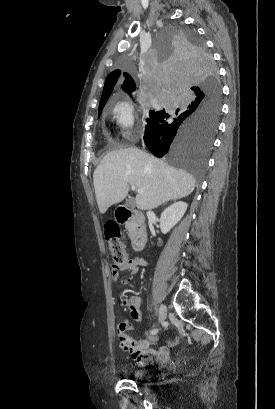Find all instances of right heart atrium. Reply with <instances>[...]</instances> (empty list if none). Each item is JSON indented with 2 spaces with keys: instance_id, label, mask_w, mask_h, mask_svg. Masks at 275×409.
I'll return each instance as SVG.
<instances>
[{
  "instance_id": "obj_1",
  "label": "right heart atrium",
  "mask_w": 275,
  "mask_h": 409,
  "mask_svg": "<svg viewBox=\"0 0 275 409\" xmlns=\"http://www.w3.org/2000/svg\"><path fill=\"white\" fill-rule=\"evenodd\" d=\"M114 116L121 136L118 143H136L139 116L135 106L125 101L116 107Z\"/></svg>"
}]
</instances>
